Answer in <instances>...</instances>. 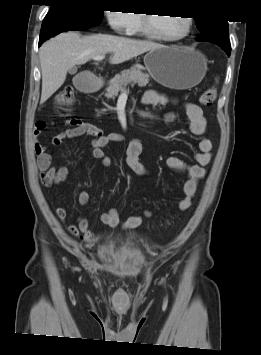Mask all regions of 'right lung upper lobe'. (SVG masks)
<instances>
[{
	"label": "right lung upper lobe",
	"mask_w": 261,
	"mask_h": 355,
	"mask_svg": "<svg viewBox=\"0 0 261 355\" xmlns=\"http://www.w3.org/2000/svg\"><path fill=\"white\" fill-rule=\"evenodd\" d=\"M50 3L54 4V3H57V2H60V1H63V0H49Z\"/></svg>",
	"instance_id": "obj_1"
}]
</instances>
